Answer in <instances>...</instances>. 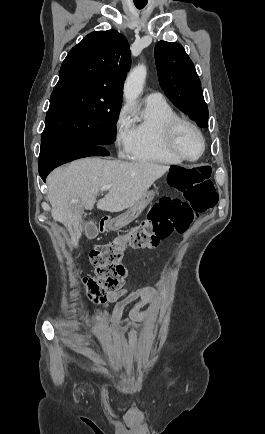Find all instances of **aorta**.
<instances>
[{
    "label": "aorta",
    "instance_id": "aorta-1",
    "mask_svg": "<svg viewBox=\"0 0 265 434\" xmlns=\"http://www.w3.org/2000/svg\"><path fill=\"white\" fill-rule=\"evenodd\" d=\"M146 76L147 70L144 64H139L128 74L123 90L127 104H133L143 92Z\"/></svg>",
    "mask_w": 265,
    "mask_h": 434
}]
</instances>
